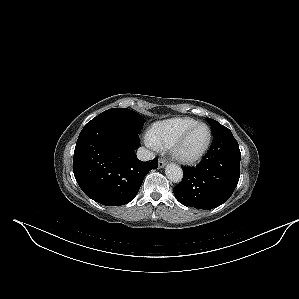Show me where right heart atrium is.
Here are the masks:
<instances>
[{
  "instance_id": "1",
  "label": "right heart atrium",
  "mask_w": 299,
  "mask_h": 299,
  "mask_svg": "<svg viewBox=\"0 0 299 299\" xmlns=\"http://www.w3.org/2000/svg\"><path fill=\"white\" fill-rule=\"evenodd\" d=\"M148 144L153 145L150 141H148Z\"/></svg>"
}]
</instances>
